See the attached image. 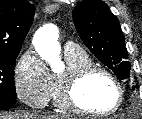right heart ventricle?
<instances>
[{"label":"right heart ventricle","instance_id":"e07e8e85","mask_svg":"<svg viewBox=\"0 0 142 119\" xmlns=\"http://www.w3.org/2000/svg\"><path fill=\"white\" fill-rule=\"evenodd\" d=\"M64 56L67 63L68 71L76 70L78 68L92 64L91 59L83 50L74 53H65ZM59 84L60 76L52 75V89L50 98H52L55 106L62 108L59 104Z\"/></svg>","mask_w":142,"mask_h":119}]
</instances>
